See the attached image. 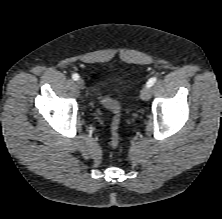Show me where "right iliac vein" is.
I'll return each instance as SVG.
<instances>
[{
	"mask_svg": "<svg viewBox=\"0 0 222 219\" xmlns=\"http://www.w3.org/2000/svg\"><path fill=\"white\" fill-rule=\"evenodd\" d=\"M76 85H77V87H78L79 89H84V88H85V82H84L83 79H78V80L76 81Z\"/></svg>",
	"mask_w": 222,
	"mask_h": 219,
	"instance_id": "right-iliac-vein-1",
	"label": "right iliac vein"
}]
</instances>
